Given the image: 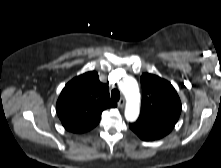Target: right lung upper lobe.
Listing matches in <instances>:
<instances>
[{"instance_id": "right-lung-upper-lobe-1", "label": "right lung upper lobe", "mask_w": 221, "mask_h": 168, "mask_svg": "<svg viewBox=\"0 0 221 168\" xmlns=\"http://www.w3.org/2000/svg\"><path fill=\"white\" fill-rule=\"evenodd\" d=\"M116 106L117 103L110 99L108 86L99 81L95 71H91L65 85L56 111L66 130L83 133L99 123L105 109Z\"/></svg>"}]
</instances>
